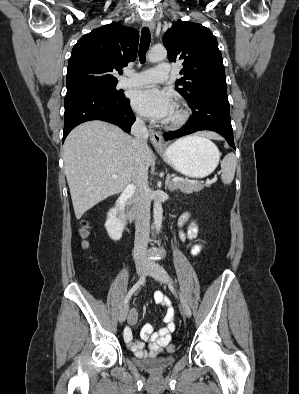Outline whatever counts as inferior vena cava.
Here are the masks:
<instances>
[{
    "label": "inferior vena cava",
    "instance_id": "inferior-vena-cava-1",
    "mask_svg": "<svg viewBox=\"0 0 299 394\" xmlns=\"http://www.w3.org/2000/svg\"><path fill=\"white\" fill-rule=\"evenodd\" d=\"M131 133L134 135L133 145L136 150V170L134 183L135 207H136V224H135V242H134V260L136 264L148 265L147 246L149 241V222H150V201L148 198V167L144 161V150L147 148L148 130L145 122L141 118L131 127Z\"/></svg>",
    "mask_w": 299,
    "mask_h": 394
}]
</instances>
